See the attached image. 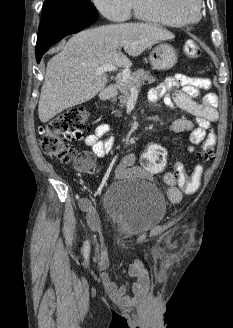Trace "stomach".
I'll return each instance as SVG.
<instances>
[{
	"label": "stomach",
	"instance_id": "1",
	"mask_svg": "<svg viewBox=\"0 0 233 328\" xmlns=\"http://www.w3.org/2000/svg\"><path fill=\"white\" fill-rule=\"evenodd\" d=\"M149 61L154 69L167 70L176 64L177 54L170 44L159 43L151 49Z\"/></svg>",
	"mask_w": 233,
	"mask_h": 328
}]
</instances>
